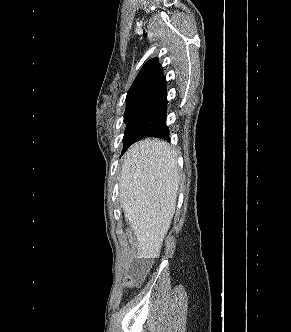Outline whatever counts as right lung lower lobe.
<instances>
[{
    "instance_id": "right-lung-lower-lobe-1",
    "label": "right lung lower lobe",
    "mask_w": 291,
    "mask_h": 332,
    "mask_svg": "<svg viewBox=\"0 0 291 332\" xmlns=\"http://www.w3.org/2000/svg\"><path fill=\"white\" fill-rule=\"evenodd\" d=\"M166 113L167 93L166 87L163 86L146 97L137 108L124 133L123 152L141 138H168L169 130L166 126Z\"/></svg>"
}]
</instances>
